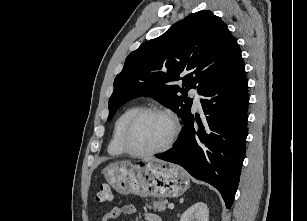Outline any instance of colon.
Masks as SVG:
<instances>
[{"mask_svg": "<svg viewBox=\"0 0 307 221\" xmlns=\"http://www.w3.org/2000/svg\"><path fill=\"white\" fill-rule=\"evenodd\" d=\"M96 200L98 203H109L114 200V194L110 186L102 185L97 193Z\"/></svg>", "mask_w": 307, "mask_h": 221, "instance_id": "obj_1", "label": "colon"}]
</instances>
